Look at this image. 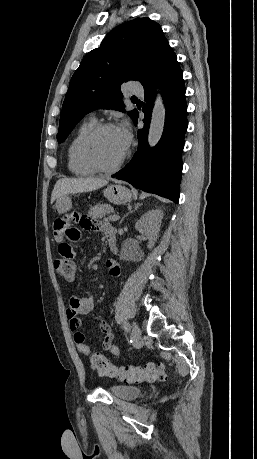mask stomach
Here are the masks:
<instances>
[{
    "label": "stomach",
    "instance_id": "stomach-1",
    "mask_svg": "<svg viewBox=\"0 0 257 459\" xmlns=\"http://www.w3.org/2000/svg\"><path fill=\"white\" fill-rule=\"evenodd\" d=\"M104 196L114 204H124L130 201V191L121 184H114L108 186L104 190ZM55 208L58 213L63 214L64 211H69L72 208V202L68 195L57 198Z\"/></svg>",
    "mask_w": 257,
    "mask_h": 459
}]
</instances>
